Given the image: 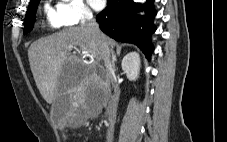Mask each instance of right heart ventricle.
Here are the masks:
<instances>
[{
	"label": "right heart ventricle",
	"mask_w": 227,
	"mask_h": 142,
	"mask_svg": "<svg viewBox=\"0 0 227 142\" xmlns=\"http://www.w3.org/2000/svg\"><path fill=\"white\" fill-rule=\"evenodd\" d=\"M44 14L46 17L47 24L49 25L50 28L52 29H58L63 24L60 22L56 10L51 7L49 3H45L44 5Z\"/></svg>",
	"instance_id": "right-heart-ventricle-1"
}]
</instances>
